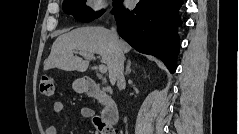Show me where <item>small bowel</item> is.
<instances>
[{
    "mask_svg": "<svg viewBox=\"0 0 239 134\" xmlns=\"http://www.w3.org/2000/svg\"><path fill=\"white\" fill-rule=\"evenodd\" d=\"M53 109L56 115H61L66 110V105L61 101H57L54 103ZM81 115L86 119H90L94 116V110L89 106L82 107ZM45 133L58 134V128L55 125H51L46 128Z\"/></svg>",
    "mask_w": 239,
    "mask_h": 134,
    "instance_id": "small-bowel-1",
    "label": "small bowel"
}]
</instances>
